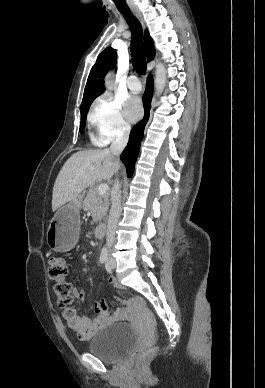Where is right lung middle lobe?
<instances>
[{
  "mask_svg": "<svg viewBox=\"0 0 265 388\" xmlns=\"http://www.w3.org/2000/svg\"><path fill=\"white\" fill-rule=\"evenodd\" d=\"M95 99V98H94ZM89 100L87 101L85 104H83L81 107H80V112H81V124H80V132L82 133L83 129H84V126H85V121H86V115H87V112L89 110V107L91 105V103L93 102V100Z\"/></svg>",
  "mask_w": 265,
  "mask_h": 388,
  "instance_id": "1",
  "label": "right lung middle lobe"
}]
</instances>
